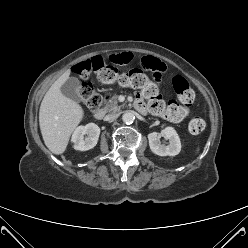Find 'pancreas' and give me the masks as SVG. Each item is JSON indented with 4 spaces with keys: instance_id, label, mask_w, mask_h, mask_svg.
I'll use <instances>...</instances> for the list:
<instances>
[{
    "instance_id": "cf45deb5",
    "label": "pancreas",
    "mask_w": 248,
    "mask_h": 248,
    "mask_svg": "<svg viewBox=\"0 0 248 248\" xmlns=\"http://www.w3.org/2000/svg\"><path fill=\"white\" fill-rule=\"evenodd\" d=\"M121 107L122 106L118 105L117 96H113L112 99L106 103L105 109L109 112L116 113L121 110Z\"/></svg>"
}]
</instances>
